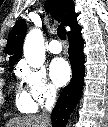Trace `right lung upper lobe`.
I'll return each mask as SVG.
<instances>
[{
  "mask_svg": "<svg viewBox=\"0 0 108 127\" xmlns=\"http://www.w3.org/2000/svg\"><path fill=\"white\" fill-rule=\"evenodd\" d=\"M45 9L56 20L69 26L71 30L79 26L77 23L78 14L74 11L73 0H46ZM26 29L25 21L20 19L16 22L9 34L5 52L10 55V66H13L21 56Z\"/></svg>",
  "mask_w": 108,
  "mask_h": 127,
  "instance_id": "1",
  "label": "right lung upper lobe"
}]
</instances>
